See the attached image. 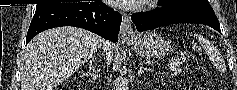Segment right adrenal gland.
Returning <instances> with one entry per match:
<instances>
[{
  "instance_id": "1",
  "label": "right adrenal gland",
  "mask_w": 237,
  "mask_h": 90,
  "mask_svg": "<svg viewBox=\"0 0 237 90\" xmlns=\"http://www.w3.org/2000/svg\"><path fill=\"white\" fill-rule=\"evenodd\" d=\"M94 60H89V72L86 74V78H89V80H97L98 76V70H96L95 66H93Z\"/></svg>"
}]
</instances>
